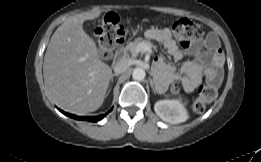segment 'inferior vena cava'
Masks as SVG:
<instances>
[{"instance_id": "obj_1", "label": "inferior vena cava", "mask_w": 261, "mask_h": 162, "mask_svg": "<svg viewBox=\"0 0 261 162\" xmlns=\"http://www.w3.org/2000/svg\"><path fill=\"white\" fill-rule=\"evenodd\" d=\"M129 66L130 62L125 58H121L114 64L113 69L115 73L120 74L124 73L129 68Z\"/></svg>"}]
</instances>
